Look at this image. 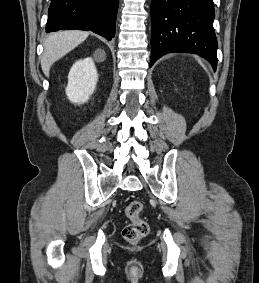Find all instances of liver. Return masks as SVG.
Returning <instances> with one entry per match:
<instances>
[{
    "instance_id": "1",
    "label": "liver",
    "mask_w": 259,
    "mask_h": 283,
    "mask_svg": "<svg viewBox=\"0 0 259 283\" xmlns=\"http://www.w3.org/2000/svg\"><path fill=\"white\" fill-rule=\"evenodd\" d=\"M89 36L88 32L80 30H66L51 33L44 41V52L41 68L48 77L51 66L81 44Z\"/></svg>"
}]
</instances>
